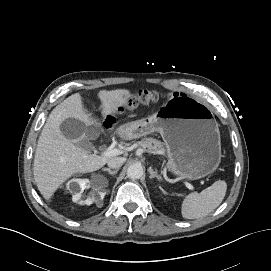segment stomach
<instances>
[{"label":"stomach","mask_w":271,"mask_h":271,"mask_svg":"<svg viewBox=\"0 0 271 271\" xmlns=\"http://www.w3.org/2000/svg\"><path fill=\"white\" fill-rule=\"evenodd\" d=\"M158 131L167 147L168 169L176 177L196 180L213 173L221 160V140L216 119L203 103L175 97L155 113L121 126L127 139Z\"/></svg>","instance_id":"0dacf381"}]
</instances>
